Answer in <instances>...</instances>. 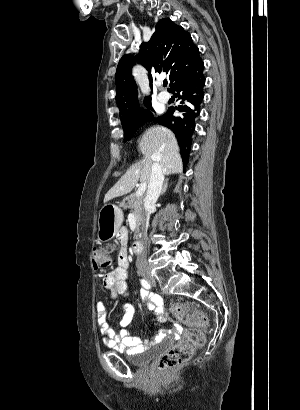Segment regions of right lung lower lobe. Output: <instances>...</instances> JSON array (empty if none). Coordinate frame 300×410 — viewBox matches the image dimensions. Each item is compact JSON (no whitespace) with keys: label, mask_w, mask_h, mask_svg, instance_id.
<instances>
[{"label":"right lung lower lobe","mask_w":300,"mask_h":410,"mask_svg":"<svg viewBox=\"0 0 300 410\" xmlns=\"http://www.w3.org/2000/svg\"><path fill=\"white\" fill-rule=\"evenodd\" d=\"M203 70L204 63L199 58L191 68L174 81L171 90L180 100V104L170 107L164 115L158 117L159 124L167 126L175 133L184 165L188 160L189 153L184 154L182 149L185 146L191 148L195 121L200 114L204 98L205 77Z\"/></svg>","instance_id":"98d812e1"}]
</instances>
